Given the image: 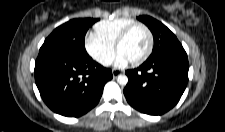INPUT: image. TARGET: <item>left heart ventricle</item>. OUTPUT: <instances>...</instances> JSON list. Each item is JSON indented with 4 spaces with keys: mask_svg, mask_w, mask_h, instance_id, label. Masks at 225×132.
Instances as JSON below:
<instances>
[{
    "mask_svg": "<svg viewBox=\"0 0 225 132\" xmlns=\"http://www.w3.org/2000/svg\"><path fill=\"white\" fill-rule=\"evenodd\" d=\"M148 44L149 39L145 30L137 28L121 44L118 53L123 54L128 61H132L138 59L146 52Z\"/></svg>",
    "mask_w": 225,
    "mask_h": 132,
    "instance_id": "obj_1",
    "label": "left heart ventricle"
}]
</instances>
